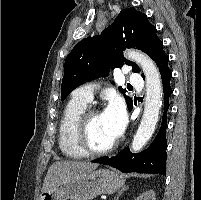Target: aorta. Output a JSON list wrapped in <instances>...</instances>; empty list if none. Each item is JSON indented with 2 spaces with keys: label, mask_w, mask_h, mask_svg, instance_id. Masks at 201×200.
<instances>
[{
  "label": "aorta",
  "mask_w": 201,
  "mask_h": 200,
  "mask_svg": "<svg viewBox=\"0 0 201 200\" xmlns=\"http://www.w3.org/2000/svg\"><path fill=\"white\" fill-rule=\"evenodd\" d=\"M125 57L141 67L146 80L144 114L131 145V151L137 152L142 149L155 131L162 104V82L156 64L146 54L128 50L125 52Z\"/></svg>",
  "instance_id": "aorta-1"
}]
</instances>
